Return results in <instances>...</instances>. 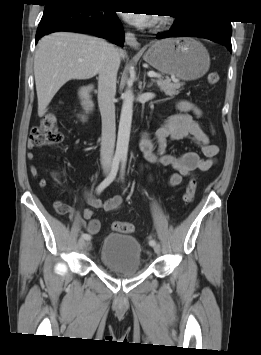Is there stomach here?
<instances>
[{"label": "stomach", "instance_id": "1", "mask_svg": "<svg viewBox=\"0 0 261 355\" xmlns=\"http://www.w3.org/2000/svg\"><path fill=\"white\" fill-rule=\"evenodd\" d=\"M143 58L160 73L185 81L201 78L210 67L207 49L190 37L152 42Z\"/></svg>", "mask_w": 261, "mask_h": 355}]
</instances>
